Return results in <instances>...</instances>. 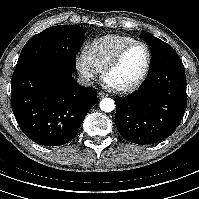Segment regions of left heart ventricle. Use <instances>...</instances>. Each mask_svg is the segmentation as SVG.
<instances>
[{"label":"left heart ventricle","instance_id":"b2bd125f","mask_svg":"<svg viewBox=\"0 0 199 199\" xmlns=\"http://www.w3.org/2000/svg\"><path fill=\"white\" fill-rule=\"evenodd\" d=\"M147 62V53L143 46H133L125 54L120 64L111 71L106 82L115 87L129 85L136 81Z\"/></svg>","mask_w":199,"mask_h":199}]
</instances>
